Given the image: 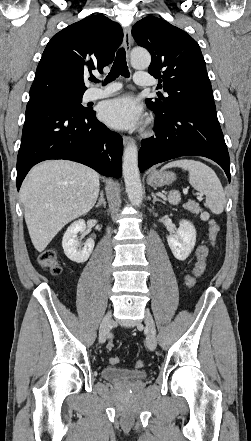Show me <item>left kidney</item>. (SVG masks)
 <instances>
[{"instance_id":"left-kidney-1","label":"left kidney","mask_w":251,"mask_h":441,"mask_svg":"<svg viewBox=\"0 0 251 441\" xmlns=\"http://www.w3.org/2000/svg\"><path fill=\"white\" fill-rule=\"evenodd\" d=\"M167 242L174 257L184 261L190 255L196 243L195 227L188 220H181L177 231L167 237Z\"/></svg>"}]
</instances>
